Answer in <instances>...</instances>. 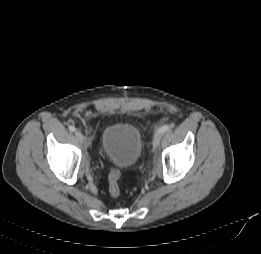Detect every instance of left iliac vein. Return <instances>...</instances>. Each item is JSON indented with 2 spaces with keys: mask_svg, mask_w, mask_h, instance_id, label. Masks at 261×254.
<instances>
[{
  "mask_svg": "<svg viewBox=\"0 0 261 254\" xmlns=\"http://www.w3.org/2000/svg\"><path fill=\"white\" fill-rule=\"evenodd\" d=\"M160 140H161V134L160 133L155 134L154 139H153L154 148H157L159 146Z\"/></svg>",
  "mask_w": 261,
  "mask_h": 254,
  "instance_id": "4c4485c4",
  "label": "left iliac vein"
}]
</instances>
